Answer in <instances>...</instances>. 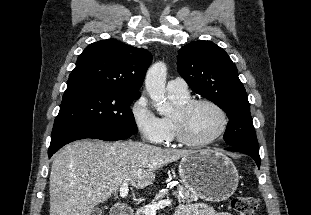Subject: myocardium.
Returning a JSON list of instances; mask_svg holds the SVG:
<instances>
[{
    "instance_id": "f54148a6",
    "label": "myocardium",
    "mask_w": 311,
    "mask_h": 215,
    "mask_svg": "<svg viewBox=\"0 0 311 215\" xmlns=\"http://www.w3.org/2000/svg\"><path fill=\"white\" fill-rule=\"evenodd\" d=\"M201 104L212 106L219 112L221 116V126L213 136L206 140L196 141L188 135L187 118L192 109ZM172 121L176 129L178 141L183 145L194 148L205 147L212 144L224 134L228 126V116L226 111L215 101L206 98L190 99L184 104L176 107V110L172 116Z\"/></svg>"
}]
</instances>
